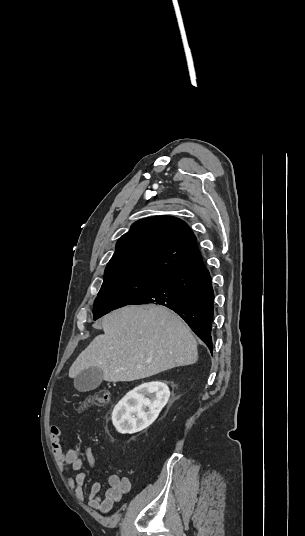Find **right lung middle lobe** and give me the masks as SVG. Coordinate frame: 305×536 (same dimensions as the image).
<instances>
[{"instance_id": "dd1d6c3e", "label": "right lung middle lobe", "mask_w": 305, "mask_h": 536, "mask_svg": "<svg viewBox=\"0 0 305 536\" xmlns=\"http://www.w3.org/2000/svg\"><path fill=\"white\" fill-rule=\"evenodd\" d=\"M165 275L125 274L104 278L93 306L94 320L111 310L130 305L164 279Z\"/></svg>"}]
</instances>
